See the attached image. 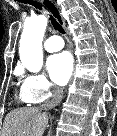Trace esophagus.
<instances>
[{
  "mask_svg": "<svg viewBox=\"0 0 117 136\" xmlns=\"http://www.w3.org/2000/svg\"><path fill=\"white\" fill-rule=\"evenodd\" d=\"M41 3L47 8L51 15L63 26H65V21L61 15V12L57 5L52 0H41Z\"/></svg>",
  "mask_w": 117,
  "mask_h": 136,
  "instance_id": "1",
  "label": "esophagus"
}]
</instances>
